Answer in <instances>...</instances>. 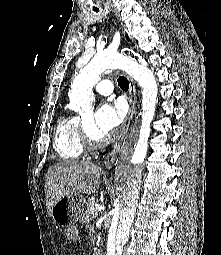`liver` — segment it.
I'll return each mask as SVG.
<instances>
[{"label":"liver","mask_w":221,"mask_h":255,"mask_svg":"<svg viewBox=\"0 0 221 255\" xmlns=\"http://www.w3.org/2000/svg\"><path fill=\"white\" fill-rule=\"evenodd\" d=\"M102 168L91 162L66 161L51 166L45 178L47 211L70 194H94L100 187Z\"/></svg>","instance_id":"liver-1"}]
</instances>
